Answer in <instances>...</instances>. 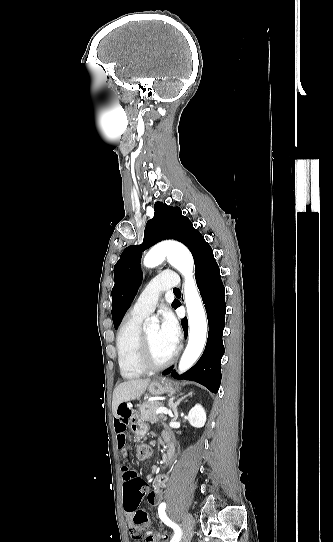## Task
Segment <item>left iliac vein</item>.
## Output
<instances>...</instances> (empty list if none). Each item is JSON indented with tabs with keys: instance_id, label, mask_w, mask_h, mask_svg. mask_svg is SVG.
Returning <instances> with one entry per match:
<instances>
[{
	"instance_id": "obj_1",
	"label": "left iliac vein",
	"mask_w": 333,
	"mask_h": 542,
	"mask_svg": "<svg viewBox=\"0 0 333 542\" xmlns=\"http://www.w3.org/2000/svg\"><path fill=\"white\" fill-rule=\"evenodd\" d=\"M194 534V520L190 513H186L182 524V538L180 542H190Z\"/></svg>"
}]
</instances>
